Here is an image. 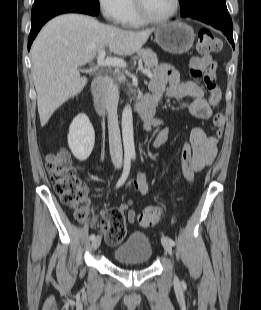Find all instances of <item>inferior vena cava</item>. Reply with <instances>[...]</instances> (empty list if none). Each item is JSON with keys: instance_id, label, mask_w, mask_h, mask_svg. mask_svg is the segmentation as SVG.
Returning <instances> with one entry per match:
<instances>
[{"instance_id": "1", "label": "inferior vena cava", "mask_w": 261, "mask_h": 310, "mask_svg": "<svg viewBox=\"0 0 261 310\" xmlns=\"http://www.w3.org/2000/svg\"><path fill=\"white\" fill-rule=\"evenodd\" d=\"M105 86L103 93V105L108 114L109 147L112 162L115 166L122 165L123 152L121 144L120 129L118 125L117 106L119 102V91L112 78H104Z\"/></svg>"}]
</instances>
